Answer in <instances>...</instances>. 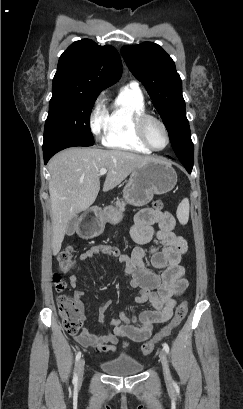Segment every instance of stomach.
<instances>
[{
  "instance_id": "1",
  "label": "stomach",
  "mask_w": 243,
  "mask_h": 409,
  "mask_svg": "<svg viewBox=\"0 0 243 409\" xmlns=\"http://www.w3.org/2000/svg\"><path fill=\"white\" fill-rule=\"evenodd\" d=\"M177 183V174L172 166L161 160L149 161L136 168L130 175L128 183L123 189V198L133 206L148 204L154 195H161L171 191ZM123 218L122 211L108 207L102 215L88 228H79L83 238L99 236L105 223H119Z\"/></svg>"
}]
</instances>
